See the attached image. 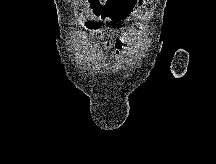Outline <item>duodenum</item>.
Masks as SVG:
<instances>
[{
	"label": "duodenum",
	"instance_id": "obj_1",
	"mask_svg": "<svg viewBox=\"0 0 216 164\" xmlns=\"http://www.w3.org/2000/svg\"><path fill=\"white\" fill-rule=\"evenodd\" d=\"M89 3L92 5L93 9H101L107 6V0H89Z\"/></svg>",
	"mask_w": 216,
	"mask_h": 164
}]
</instances>
